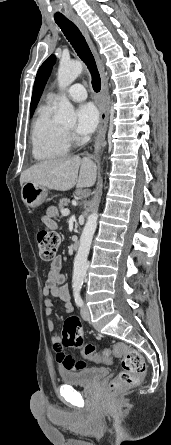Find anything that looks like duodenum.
<instances>
[{"instance_id":"410a0bca","label":"duodenum","mask_w":171,"mask_h":445,"mask_svg":"<svg viewBox=\"0 0 171 445\" xmlns=\"http://www.w3.org/2000/svg\"><path fill=\"white\" fill-rule=\"evenodd\" d=\"M73 247H74L75 249H78V248L80 247V240H79V239H75V240L73 241Z\"/></svg>"}]
</instances>
